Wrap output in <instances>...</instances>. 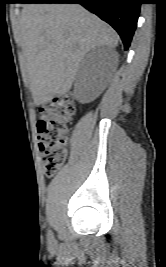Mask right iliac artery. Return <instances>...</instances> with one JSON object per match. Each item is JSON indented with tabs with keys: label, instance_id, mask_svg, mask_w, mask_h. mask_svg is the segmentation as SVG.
Instances as JSON below:
<instances>
[{
	"label": "right iliac artery",
	"instance_id": "82829eb1",
	"mask_svg": "<svg viewBox=\"0 0 166 267\" xmlns=\"http://www.w3.org/2000/svg\"><path fill=\"white\" fill-rule=\"evenodd\" d=\"M48 240L49 241H53V239H54V236H53V233L51 232V231H48Z\"/></svg>",
	"mask_w": 166,
	"mask_h": 267
}]
</instances>
